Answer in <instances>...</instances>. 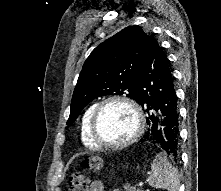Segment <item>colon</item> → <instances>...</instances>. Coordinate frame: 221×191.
<instances>
[{"instance_id":"colon-1","label":"colon","mask_w":221,"mask_h":191,"mask_svg":"<svg viewBox=\"0 0 221 191\" xmlns=\"http://www.w3.org/2000/svg\"><path fill=\"white\" fill-rule=\"evenodd\" d=\"M101 165L99 158H87L81 163L84 171L98 170ZM69 191H89V179L85 172H78L71 177Z\"/></svg>"}]
</instances>
